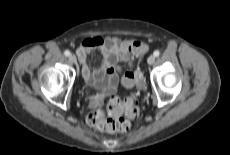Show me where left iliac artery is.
<instances>
[{
    "mask_svg": "<svg viewBox=\"0 0 230 155\" xmlns=\"http://www.w3.org/2000/svg\"><path fill=\"white\" fill-rule=\"evenodd\" d=\"M153 54H154L155 57H158L160 55V52L158 50H156V51H154Z\"/></svg>",
    "mask_w": 230,
    "mask_h": 155,
    "instance_id": "1",
    "label": "left iliac artery"
}]
</instances>
